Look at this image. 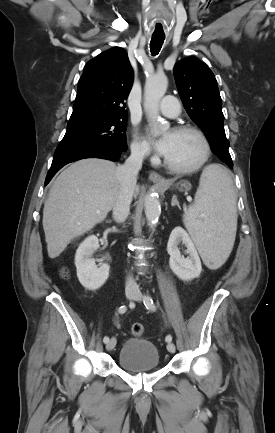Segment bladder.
<instances>
[{
	"mask_svg": "<svg viewBox=\"0 0 275 433\" xmlns=\"http://www.w3.org/2000/svg\"><path fill=\"white\" fill-rule=\"evenodd\" d=\"M119 365L131 373H143L160 367L157 347L150 341L140 338L125 340L118 352Z\"/></svg>",
	"mask_w": 275,
	"mask_h": 433,
	"instance_id": "obj_1",
	"label": "bladder"
}]
</instances>
